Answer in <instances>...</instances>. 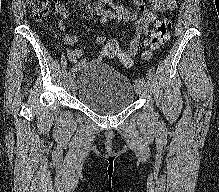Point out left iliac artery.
Here are the masks:
<instances>
[{
    "label": "left iliac artery",
    "instance_id": "1",
    "mask_svg": "<svg viewBox=\"0 0 219 192\" xmlns=\"http://www.w3.org/2000/svg\"><path fill=\"white\" fill-rule=\"evenodd\" d=\"M146 78L151 81V80H152V73H151V72H148V73L146 74Z\"/></svg>",
    "mask_w": 219,
    "mask_h": 192
}]
</instances>
